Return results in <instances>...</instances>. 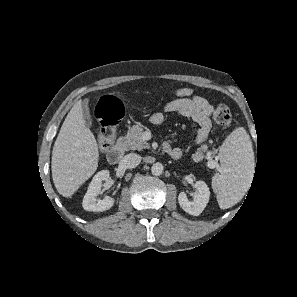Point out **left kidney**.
Here are the masks:
<instances>
[{"label":"left kidney","mask_w":297,"mask_h":297,"mask_svg":"<svg viewBox=\"0 0 297 297\" xmlns=\"http://www.w3.org/2000/svg\"><path fill=\"white\" fill-rule=\"evenodd\" d=\"M194 188L197 192L195 193L192 201L187 198L185 192H181L178 195V202L185 212L190 215L198 216L202 213L209 202L210 191L207 184L201 180L194 184Z\"/></svg>","instance_id":"left-kidney-1"}]
</instances>
